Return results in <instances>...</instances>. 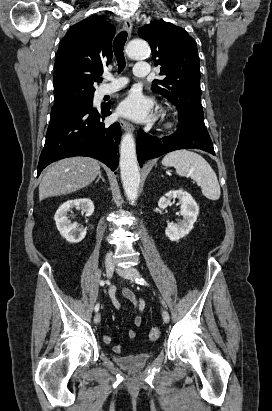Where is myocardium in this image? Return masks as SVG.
<instances>
[{
	"label": "myocardium",
	"mask_w": 272,
	"mask_h": 411,
	"mask_svg": "<svg viewBox=\"0 0 272 411\" xmlns=\"http://www.w3.org/2000/svg\"><path fill=\"white\" fill-rule=\"evenodd\" d=\"M167 125H168V126L170 125L169 122H167Z\"/></svg>",
	"instance_id": "1"
}]
</instances>
